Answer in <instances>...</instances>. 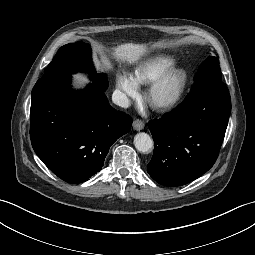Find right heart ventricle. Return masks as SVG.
<instances>
[{
  "label": "right heart ventricle",
  "instance_id": "right-heart-ventricle-1",
  "mask_svg": "<svg viewBox=\"0 0 255 255\" xmlns=\"http://www.w3.org/2000/svg\"><path fill=\"white\" fill-rule=\"evenodd\" d=\"M176 59L167 54H160L144 61L135 71L138 84H151L166 71L175 67Z\"/></svg>",
  "mask_w": 255,
  "mask_h": 255
}]
</instances>
